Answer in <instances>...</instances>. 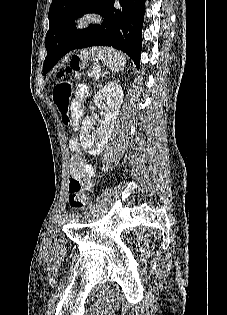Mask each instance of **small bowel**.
<instances>
[{
    "label": "small bowel",
    "instance_id": "1",
    "mask_svg": "<svg viewBox=\"0 0 227 315\" xmlns=\"http://www.w3.org/2000/svg\"><path fill=\"white\" fill-rule=\"evenodd\" d=\"M88 89L84 85H79L76 90V98L72 104L74 110L78 112V117L82 113L81 102L87 97ZM74 129H78V123L74 125ZM69 148L72 151L70 159V172L72 178H84L85 189L91 191L93 189L94 169L91 165L86 164L84 156L80 149V142L77 138H71Z\"/></svg>",
    "mask_w": 227,
    "mask_h": 315
}]
</instances>
